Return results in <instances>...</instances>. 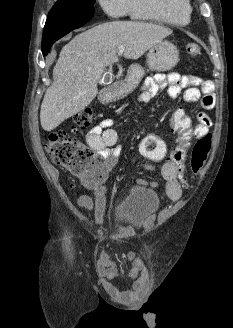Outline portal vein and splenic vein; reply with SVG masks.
Here are the masks:
<instances>
[{"label":"portal vein and splenic vein","mask_w":233,"mask_h":328,"mask_svg":"<svg viewBox=\"0 0 233 328\" xmlns=\"http://www.w3.org/2000/svg\"><path fill=\"white\" fill-rule=\"evenodd\" d=\"M125 50V47L123 45L119 46V49H118V55H121Z\"/></svg>","instance_id":"1"}]
</instances>
